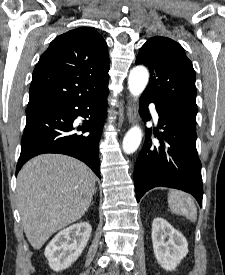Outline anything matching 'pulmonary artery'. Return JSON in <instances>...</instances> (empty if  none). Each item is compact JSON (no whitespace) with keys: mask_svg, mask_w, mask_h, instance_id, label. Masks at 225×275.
<instances>
[{"mask_svg":"<svg viewBox=\"0 0 225 275\" xmlns=\"http://www.w3.org/2000/svg\"><path fill=\"white\" fill-rule=\"evenodd\" d=\"M151 109H152V113H153V116L156 120H158V113L155 109V106L154 105H151Z\"/></svg>","mask_w":225,"mask_h":275,"instance_id":"pulmonary-artery-1","label":"pulmonary artery"}]
</instances>
